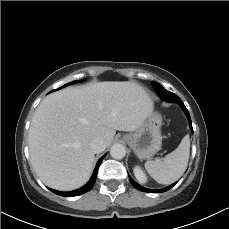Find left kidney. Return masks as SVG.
Returning <instances> with one entry per match:
<instances>
[{
	"instance_id": "5707ae66",
	"label": "left kidney",
	"mask_w": 229,
	"mask_h": 229,
	"mask_svg": "<svg viewBox=\"0 0 229 229\" xmlns=\"http://www.w3.org/2000/svg\"><path fill=\"white\" fill-rule=\"evenodd\" d=\"M133 173L139 182L145 183L147 181V177L145 173L142 171V169L139 166L134 167Z\"/></svg>"
}]
</instances>
